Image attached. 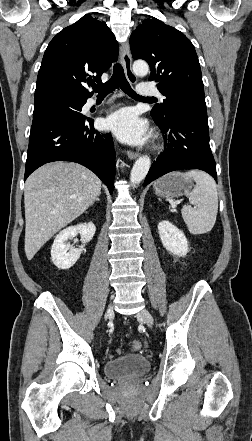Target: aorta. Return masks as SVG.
<instances>
[{
	"mask_svg": "<svg viewBox=\"0 0 252 441\" xmlns=\"http://www.w3.org/2000/svg\"><path fill=\"white\" fill-rule=\"evenodd\" d=\"M133 71L136 75L145 76L149 71V66L145 61H135ZM151 166V160L148 156L139 157L133 165L130 174V182L133 186L138 185L146 177Z\"/></svg>",
	"mask_w": 252,
	"mask_h": 441,
	"instance_id": "762f6f07",
	"label": "aorta"
}]
</instances>
